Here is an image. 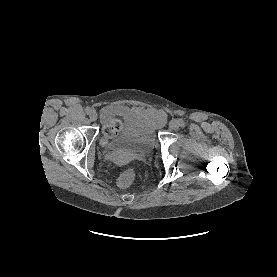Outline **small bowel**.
<instances>
[{
  "instance_id": "obj_1",
  "label": "small bowel",
  "mask_w": 277,
  "mask_h": 277,
  "mask_svg": "<svg viewBox=\"0 0 277 277\" xmlns=\"http://www.w3.org/2000/svg\"><path fill=\"white\" fill-rule=\"evenodd\" d=\"M139 112L142 114H147V115H151L154 118L157 119V122H161L164 120V113L160 110H156V109H149V110H143V109H139Z\"/></svg>"
}]
</instances>
